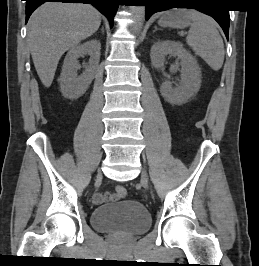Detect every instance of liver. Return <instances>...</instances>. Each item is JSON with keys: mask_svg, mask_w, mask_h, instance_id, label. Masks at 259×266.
<instances>
[{"mask_svg": "<svg viewBox=\"0 0 259 266\" xmlns=\"http://www.w3.org/2000/svg\"><path fill=\"white\" fill-rule=\"evenodd\" d=\"M101 24L100 12L83 3L48 2L28 21V45L37 74L50 87L61 56L93 35Z\"/></svg>", "mask_w": 259, "mask_h": 266, "instance_id": "6515ba94", "label": "liver"}]
</instances>
